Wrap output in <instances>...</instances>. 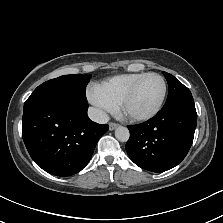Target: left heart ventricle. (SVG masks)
<instances>
[{"label":"left heart ventricle","instance_id":"obj_1","mask_svg":"<svg viewBox=\"0 0 223 223\" xmlns=\"http://www.w3.org/2000/svg\"><path fill=\"white\" fill-rule=\"evenodd\" d=\"M161 93V80L156 76H149L142 81L130 101L122 107L121 111L135 115L147 114L155 108Z\"/></svg>","mask_w":223,"mask_h":223}]
</instances>
